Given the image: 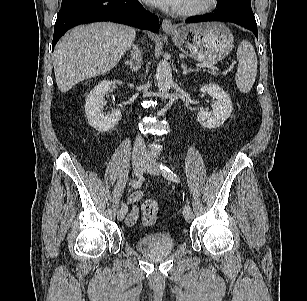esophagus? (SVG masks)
<instances>
[{
	"label": "esophagus",
	"instance_id": "obj_1",
	"mask_svg": "<svg viewBox=\"0 0 307 301\" xmlns=\"http://www.w3.org/2000/svg\"><path fill=\"white\" fill-rule=\"evenodd\" d=\"M162 29L165 31V32H172L175 30L174 26L172 25L171 21L168 20V19H164L162 21Z\"/></svg>",
	"mask_w": 307,
	"mask_h": 301
}]
</instances>
